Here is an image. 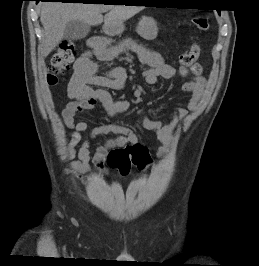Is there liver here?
I'll list each match as a JSON object with an SVG mask.
<instances>
[{
  "label": "liver",
  "instance_id": "1",
  "mask_svg": "<svg viewBox=\"0 0 259 266\" xmlns=\"http://www.w3.org/2000/svg\"><path fill=\"white\" fill-rule=\"evenodd\" d=\"M143 10V6L45 2L41 4L40 21L44 28L42 55L48 56L62 41L67 23L79 20L103 29L123 23ZM107 12L103 17L102 13Z\"/></svg>",
  "mask_w": 259,
  "mask_h": 266
}]
</instances>
